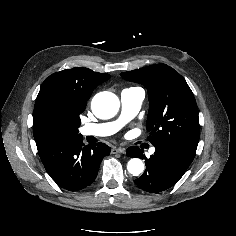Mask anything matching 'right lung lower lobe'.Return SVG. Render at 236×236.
I'll return each instance as SVG.
<instances>
[{"label": "right lung lower lobe", "mask_w": 236, "mask_h": 236, "mask_svg": "<svg viewBox=\"0 0 236 236\" xmlns=\"http://www.w3.org/2000/svg\"><path fill=\"white\" fill-rule=\"evenodd\" d=\"M38 154L51 178L68 191H78L96 178L110 148L104 143L84 146L80 134L36 141Z\"/></svg>", "instance_id": "obj_1"}]
</instances>
